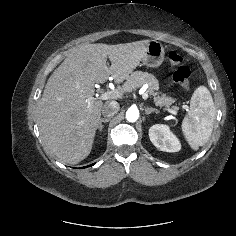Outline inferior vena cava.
Listing matches in <instances>:
<instances>
[{
    "label": "inferior vena cava",
    "instance_id": "1",
    "mask_svg": "<svg viewBox=\"0 0 236 236\" xmlns=\"http://www.w3.org/2000/svg\"><path fill=\"white\" fill-rule=\"evenodd\" d=\"M120 109V105L116 101H107L105 104L102 106V115L104 117H112L115 114L118 113Z\"/></svg>",
    "mask_w": 236,
    "mask_h": 236
}]
</instances>
